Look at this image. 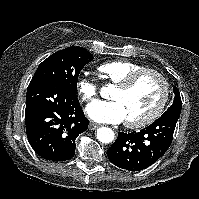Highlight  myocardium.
Listing matches in <instances>:
<instances>
[{"instance_id":"f54148a6","label":"myocardium","mask_w":199,"mask_h":199,"mask_svg":"<svg viewBox=\"0 0 199 199\" xmlns=\"http://www.w3.org/2000/svg\"><path fill=\"white\" fill-rule=\"evenodd\" d=\"M148 74L156 76L161 81L162 87H163L162 95H161L157 105L155 106V108L148 115H146L145 117H143L141 119L126 120L125 124H126V126H128L130 128L145 127V126L153 123L162 114V112L165 109V106L169 100L170 85H169L168 79L166 78V76L163 73H161L158 70L152 69V68H143L141 70H138V71L130 74L122 82L116 84V88H118L122 91H128L141 78H143L145 75H148Z\"/></svg>"}]
</instances>
